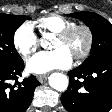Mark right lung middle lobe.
I'll return each mask as SVG.
<instances>
[{"mask_svg": "<svg viewBox=\"0 0 112 112\" xmlns=\"http://www.w3.org/2000/svg\"><path fill=\"white\" fill-rule=\"evenodd\" d=\"M30 17L0 13V69L5 68L21 57L14 47L16 29Z\"/></svg>", "mask_w": 112, "mask_h": 112, "instance_id": "obj_1", "label": "right lung middle lobe"}]
</instances>
